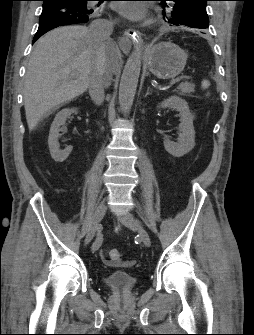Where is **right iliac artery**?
Segmentation results:
<instances>
[{"label": "right iliac artery", "mask_w": 254, "mask_h": 335, "mask_svg": "<svg viewBox=\"0 0 254 335\" xmlns=\"http://www.w3.org/2000/svg\"><path fill=\"white\" fill-rule=\"evenodd\" d=\"M102 241H103V235L100 231H98L97 237L91 247L92 251L94 252L97 251L102 245Z\"/></svg>", "instance_id": "right-iliac-artery-1"}]
</instances>
